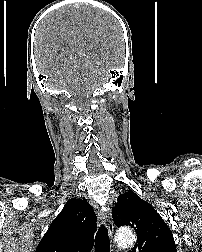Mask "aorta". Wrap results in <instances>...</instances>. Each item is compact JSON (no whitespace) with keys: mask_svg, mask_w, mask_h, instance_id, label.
Instances as JSON below:
<instances>
[{"mask_svg":"<svg viewBox=\"0 0 202 252\" xmlns=\"http://www.w3.org/2000/svg\"><path fill=\"white\" fill-rule=\"evenodd\" d=\"M115 240L119 247L127 248L135 241V235L129 229L119 230L116 234Z\"/></svg>","mask_w":202,"mask_h":252,"instance_id":"1","label":"aorta"}]
</instances>
